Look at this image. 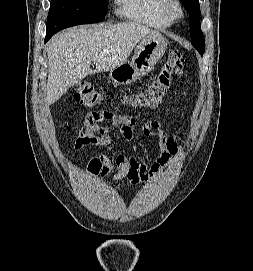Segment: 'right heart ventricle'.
<instances>
[{
  "label": "right heart ventricle",
  "mask_w": 253,
  "mask_h": 271,
  "mask_svg": "<svg viewBox=\"0 0 253 271\" xmlns=\"http://www.w3.org/2000/svg\"><path fill=\"white\" fill-rule=\"evenodd\" d=\"M118 12L126 19L156 29H167L170 19L164 11L165 0H116Z\"/></svg>",
  "instance_id": "e07e8e85"
}]
</instances>
